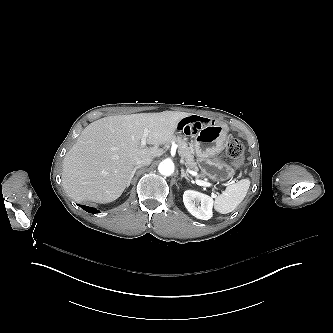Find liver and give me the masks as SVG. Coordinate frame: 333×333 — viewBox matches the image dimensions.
Listing matches in <instances>:
<instances>
[{"label":"liver","mask_w":333,"mask_h":333,"mask_svg":"<svg viewBox=\"0 0 333 333\" xmlns=\"http://www.w3.org/2000/svg\"><path fill=\"white\" fill-rule=\"evenodd\" d=\"M191 113L164 111L109 116L89 124L63 160L62 184L76 202L109 203L121 196L139 159L160 157L157 145L174 138L178 122ZM144 129L147 144L140 140Z\"/></svg>","instance_id":"obj_1"}]
</instances>
